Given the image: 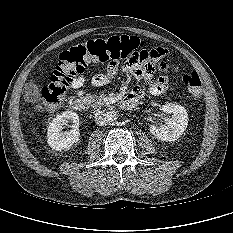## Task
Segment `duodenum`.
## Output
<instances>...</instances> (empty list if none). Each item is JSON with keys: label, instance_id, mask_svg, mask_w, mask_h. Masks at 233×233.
Segmentation results:
<instances>
[{"label": "duodenum", "instance_id": "duodenum-1", "mask_svg": "<svg viewBox=\"0 0 233 233\" xmlns=\"http://www.w3.org/2000/svg\"><path fill=\"white\" fill-rule=\"evenodd\" d=\"M138 100L137 96L129 94L122 100L121 105L124 109H132L137 105ZM69 106L75 111H81L84 109V102L79 98H73L69 100Z\"/></svg>", "mask_w": 233, "mask_h": 233}]
</instances>
